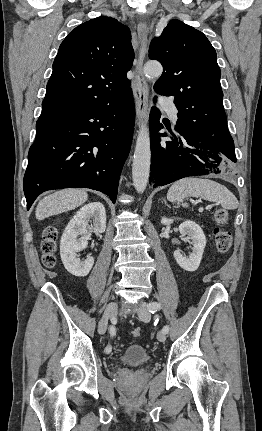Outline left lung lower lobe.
I'll use <instances>...</instances> for the list:
<instances>
[{"instance_id": "left-lung-lower-lobe-1", "label": "left lung lower lobe", "mask_w": 262, "mask_h": 431, "mask_svg": "<svg viewBox=\"0 0 262 431\" xmlns=\"http://www.w3.org/2000/svg\"><path fill=\"white\" fill-rule=\"evenodd\" d=\"M156 100V98H155ZM161 113L152 108L149 116L151 133V173L153 187L167 185L189 176L230 173L236 162L234 142L230 134L221 141H204L178 132L171 141L161 143L157 132L163 128ZM161 136H167L166 133Z\"/></svg>"}]
</instances>
